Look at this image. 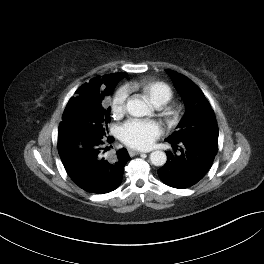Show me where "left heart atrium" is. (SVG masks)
Masks as SVG:
<instances>
[{
  "label": "left heart atrium",
  "mask_w": 264,
  "mask_h": 264,
  "mask_svg": "<svg viewBox=\"0 0 264 264\" xmlns=\"http://www.w3.org/2000/svg\"><path fill=\"white\" fill-rule=\"evenodd\" d=\"M162 129L155 121L132 119L119 129L121 140L128 146L147 149L161 135Z\"/></svg>",
  "instance_id": "obj_1"
}]
</instances>
